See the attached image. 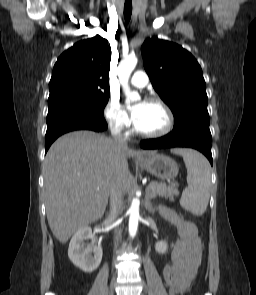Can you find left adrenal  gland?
Wrapping results in <instances>:
<instances>
[{
	"label": "left adrenal gland",
	"mask_w": 256,
	"mask_h": 295,
	"mask_svg": "<svg viewBox=\"0 0 256 295\" xmlns=\"http://www.w3.org/2000/svg\"><path fill=\"white\" fill-rule=\"evenodd\" d=\"M145 209L151 214L155 212V207L152 205L148 196L145 197Z\"/></svg>",
	"instance_id": "left-adrenal-gland-1"
}]
</instances>
